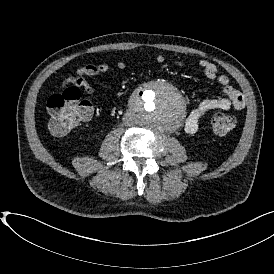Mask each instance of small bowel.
<instances>
[{"label":"small bowel","mask_w":274,"mask_h":274,"mask_svg":"<svg viewBox=\"0 0 274 274\" xmlns=\"http://www.w3.org/2000/svg\"><path fill=\"white\" fill-rule=\"evenodd\" d=\"M165 61L166 58L161 54L155 57V62L158 64H163ZM175 64L180 67L184 66L180 61H176ZM198 66L209 80L217 81L222 86L224 97L205 99L194 108L185 120L184 130L187 134H195L198 131L201 119L210 111L229 109L242 110L245 107L244 95L231 85L229 77L221 74L213 62L200 60ZM116 67L122 71L126 70L127 63L125 61H118ZM109 69V65L104 62L99 64H86L81 67L79 75L72 81V84L77 89H82L85 93L92 95L96 90L85 77L99 76L107 73ZM67 85V81L63 83V87Z\"/></svg>","instance_id":"c3829d8e"}]
</instances>
